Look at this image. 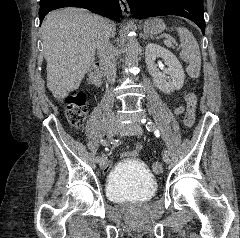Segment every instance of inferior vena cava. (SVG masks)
<instances>
[{"instance_id": "1", "label": "inferior vena cava", "mask_w": 240, "mask_h": 238, "mask_svg": "<svg viewBox=\"0 0 240 238\" xmlns=\"http://www.w3.org/2000/svg\"><path fill=\"white\" fill-rule=\"evenodd\" d=\"M99 31L96 41L97 54L100 59L101 69L110 83L115 82L116 62L115 51L109 40V23L106 20L97 22Z\"/></svg>"}]
</instances>
